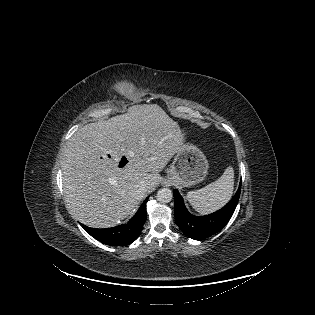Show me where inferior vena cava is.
Instances as JSON below:
<instances>
[{
	"mask_svg": "<svg viewBox=\"0 0 315 315\" xmlns=\"http://www.w3.org/2000/svg\"><path fill=\"white\" fill-rule=\"evenodd\" d=\"M147 190H148L147 182L146 181H141L140 184L137 187V192L139 194H144V193L147 192Z\"/></svg>",
	"mask_w": 315,
	"mask_h": 315,
	"instance_id": "inferior-vena-cava-1",
	"label": "inferior vena cava"
}]
</instances>
